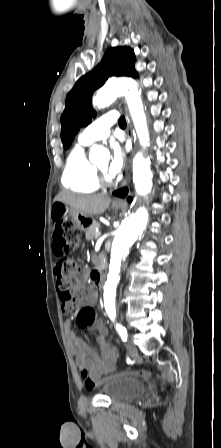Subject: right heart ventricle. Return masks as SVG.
<instances>
[{"instance_id":"e07e8e85","label":"right heart ventricle","mask_w":221,"mask_h":448,"mask_svg":"<svg viewBox=\"0 0 221 448\" xmlns=\"http://www.w3.org/2000/svg\"><path fill=\"white\" fill-rule=\"evenodd\" d=\"M62 184L79 193H92L99 189L97 171L86 157L85 145L79 143L70 152L63 171Z\"/></svg>"}]
</instances>
